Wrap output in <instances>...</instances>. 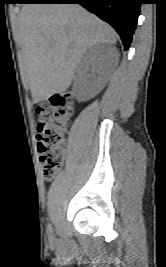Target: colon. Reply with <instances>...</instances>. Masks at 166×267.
<instances>
[{"label": "colon", "instance_id": "obj_1", "mask_svg": "<svg viewBox=\"0 0 166 267\" xmlns=\"http://www.w3.org/2000/svg\"><path fill=\"white\" fill-rule=\"evenodd\" d=\"M74 110V98L70 93L56 94L48 103L37 107L38 150L47 180L53 179L64 163L63 144Z\"/></svg>", "mask_w": 166, "mask_h": 267}]
</instances>
